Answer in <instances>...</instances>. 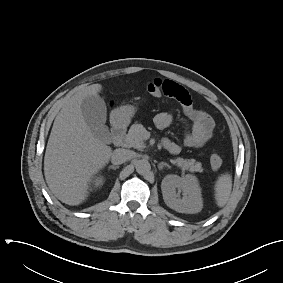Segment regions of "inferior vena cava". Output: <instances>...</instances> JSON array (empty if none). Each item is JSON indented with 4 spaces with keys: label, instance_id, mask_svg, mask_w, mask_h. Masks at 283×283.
I'll use <instances>...</instances> for the list:
<instances>
[{
    "label": "inferior vena cava",
    "instance_id": "602c4592",
    "mask_svg": "<svg viewBox=\"0 0 283 283\" xmlns=\"http://www.w3.org/2000/svg\"><path fill=\"white\" fill-rule=\"evenodd\" d=\"M134 157V152L131 150L119 148L113 151L111 155V162L114 165H120Z\"/></svg>",
    "mask_w": 283,
    "mask_h": 283
}]
</instances>
